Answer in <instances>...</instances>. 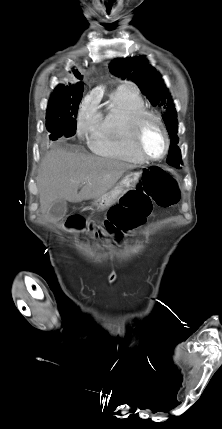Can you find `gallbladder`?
Listing matches in <instances>:
<instances>
[{
	"mask_svg": "<svg viewBox=\"0 0 222 429\" xmlns=\"http://www.w3.org/2000/svg\"><path fill=\"white\" fill-rule=\"evenodd\" d=\"M67 213V202L65 200L57 201L51 207L49 214L55 219L61 220Z\"/></svg>",
	"mask_w": 222,
	"mask_h": 429,
	"instance_id": "obj_1",
	"label": "gallbladder"
}]
</instances>
